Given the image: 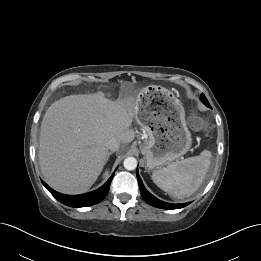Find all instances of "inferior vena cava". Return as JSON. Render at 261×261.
<instances>
[{
	"instance_id": "inferior-vena-cava-1",
	"label": "inferior vena cava",
	"mask_w": 261,
	"mask_h": 261,
	"mask_svg": "<svg viewBox=\"0 0 261 261\" xmlns=\"http://www.w3.org/2000/svg\"><path fill=\"white\" fill-rule=\"evenodd\" d=\"M120 142L116 138H111L106 142V147L110 151H118Z\"/></svg>"
}]
</instances>
